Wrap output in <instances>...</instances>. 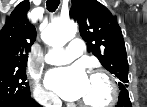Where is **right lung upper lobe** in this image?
Returning a JSON list of instances; mask_svg holds the SVG:
<instances>
[{
    "label": "right lung upper lobe",
    "instance_id": "cb5924a9",
    "mask_svg": "<svg viewBox=\"0 0 147 107\" xmlns=\"http://www.w3.org/2000/svg\"><path fill=\"white\" fill-rule=\"evenodd\" d=\"M29 7V0L18 4L0 31V73L27 65L36 40V29L27 19Z\"/></svg>",
    "mask_w": 147,
    "mask_h": 107
}]
</instances>
